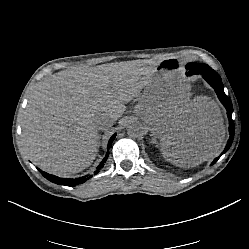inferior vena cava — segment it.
Wrapping results in <instances>:
<instances>
[{"instance_id": "obj_1", "label": "inferior vena cava", "mask_w": 249, "mask_h": 249, "mask_svg": "<svg viewBox=\"0 0 249 249\" xmlns=\"http://www.w3.org/2000/svg\"><path fill=\"white\" fill-rule=\"evenodd\" d=\"M95 123L99 130H108L112 126L113 120L107 114H102L95 120Z\"/></svg>"}]
</instances>
